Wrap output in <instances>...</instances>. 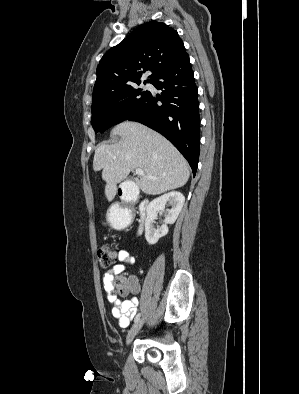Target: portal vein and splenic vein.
Returning <instances> with one entry per match:
<instances>
[{"label": "portal vein and splenic vein", "mask_w": 299, "mask_h": 394, "mask_svg": "<svg viewBox=\"0 0 299 394\" xmlns=\"http://www.w3.org/2000/svg\"><path fill=\"white\" fill-rule=\"evenodd\" d=\"M135 173L137 174V175H140V176H144L145 174H144V171L142 170V169H136L135 170ZM150 179H154L153 177H149Z\"/></svg>", "instance_id": "1"}]
</instances>
